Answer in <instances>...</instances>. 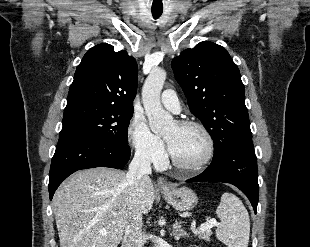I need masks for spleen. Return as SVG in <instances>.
Listing matches in <instances>:
<instances>
[{
    "label": "spleen",
    "mask_w": 310,
    "mask_h": 247,
    "mask_svg": "<svg viewBox=\"0 0 310 247\" xmlns=\"http://www.w3.org/2000/svg\"><path fill=\"white\" fill-rule=\"evenodd\" d=\"M221 225L216 237L228 247H248L250 219L242 201L234 194L225 192L216 210Z\"/></svg>",
    "instance_id": "obj_1"
}]
</instances>
